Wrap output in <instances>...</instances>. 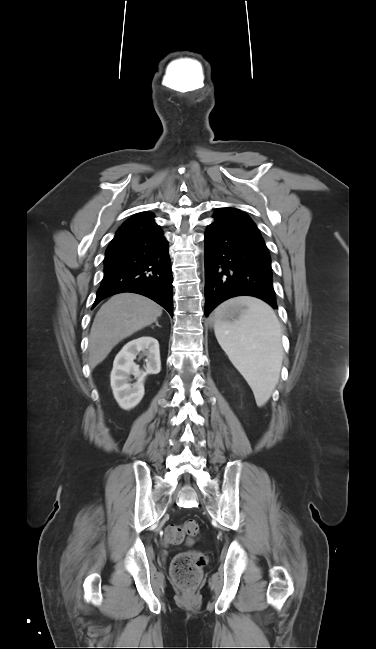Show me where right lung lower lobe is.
Here are the masks:
<instances>
[{
	"label": "right lung lower lobe",
	"instance_id": "98d812e1",
	"mask_svg": "<svg viewBox=\"0 0 376 649\" xmlns=\"http://www.w3.org/2000/svg\"><path fill=\"white\" fill-rule=\"evenodd\" d=\"M122 292L149 297L173 317L172 272L168 242L160 229L111 242L104 259V277L93 308Z\"/></svg>",
	"mask_w": 376,
	"mask_h": 649
}]
</instances>
